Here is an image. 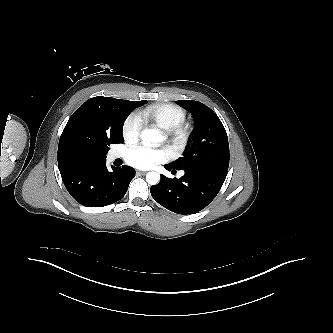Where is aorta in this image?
Instances as JSON below:
<instances>
[{
    "mask_svg": "<svg viewBox=\"0 0 333 333\" xmlns=\"http://www.w3.org/2000/svg\"><path fill=\"white\" fill-rule=\"evenodd\" d=\"M162 134L158 129H145L141 133V140L144 143H159L162 141ZM146 181L149 185H156L160 181V175L157 172H148Z\"/></svg>",
    "mask_w": 333,
    "mask_h": 333,
    "instance_id": "aorta-1",
    "label": "aorta"
}]
</instances>
